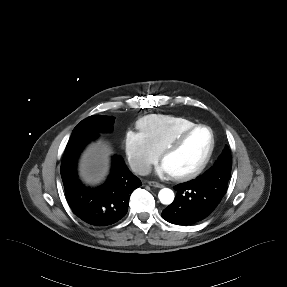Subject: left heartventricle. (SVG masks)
Returning a JSON list of instances; mask_svg holds the SVG:
<instances>
[{"mask_svg": "<svg viewBox=\"0 0 287 287\" xmlns=\"http://www.w3.org/2000/svg\"><path fill=\"white\" fill-rule=\"evenodd\" d=\"M210 142L208 130L200 128L194 131L176 151L162 161L169 175L184 174L194 170L207 154Z\"/></svg>", "mask_w": 287, "mask_h": 287, "instance_id": "obj_1", "label": "left heart ventricle"}]
</instances>
